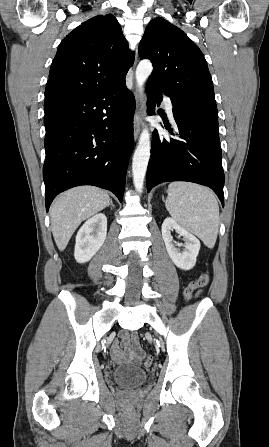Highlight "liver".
<instances>
[{
    "mask_svg": "<svg viewBox=\"0 0 269 447\" xmlns=\"http://www.w3.org/2000/svg\"><path fill=\"white\" fill-rule=\"evenodd\" d=\"M109 202L107 192L93 186H79L60 194L50 210L52 233L58 249L63 251L76 227L104 210Z\"/></svg>",
    "mask_w": 269,
    "mask_h": 447,
    "instance_id": "obj_1",
    "label": "liver"
}]
</instances>
